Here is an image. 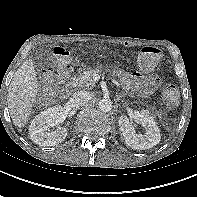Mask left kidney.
<instances>
[{
	"label": "left kidney",
	"instance_id": "1",
	"mask_svg": "<svg viewBox=\"0 0 197 197\" xmlns=\"http://www.w3.org/2000/svg\"><path fill=\"white\" fill-rule=\"evenodd\" d=\"M134 119L145 128L146 133L145 135L136 134L135 128L132 125V120L126 115H122L119 117L118 123L125 143L133 149L140 150L150 149L157 145L160 142L161 134L149 111L142 110L140 113H136Z\"/></svg>",
	"mask_w": 197,
	"mask_h": 197
}]
</instances>
